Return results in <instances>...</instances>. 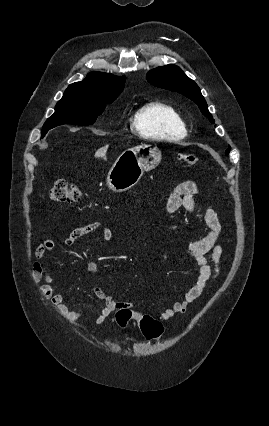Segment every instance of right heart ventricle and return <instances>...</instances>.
Wrapping results in <instances>:
<instances>
[{"instance_id": "right-heart-ventricle-1", "label": "right heart ventricle", "mask_w": 269, "mask_h": 426, "mask_svg": "<svg viewBox=\"0 0 269 426\" xmlns=\"http://www.w3.org/2000/svg\"><path fill=\"white\" fill-rule=\"evenodd\" d=\"M132 128L150 140H179L187 135L184 120L177 109L161 101H150L132 115Z\"/></svg>"}]
</instances>
